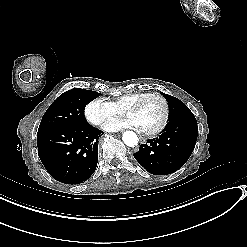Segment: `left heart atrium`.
<instances>
[{
    "mask_svg": "<svg viewBox=\"0 0 247 247\" xmlns=\"http://www.w3.org/2000/svg\"><path fill=\"white\" fill-rule=\"evenodd\" d=\"M128 127L139 129V127H138V125H137V123L133 117H127L125 119H121V120L117 121L116 123L110 125L109 129L110 130H119V129L128 128Z\"/></svg>",
    "mask_w": 247,
    "mask_h": 247,
    "instance_id": "1",
    "label": "left heart atrium"
}]
</instances>
